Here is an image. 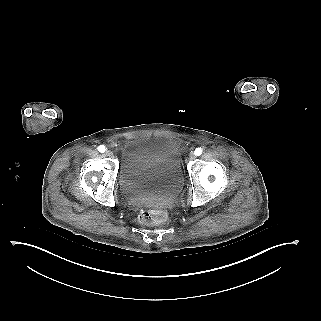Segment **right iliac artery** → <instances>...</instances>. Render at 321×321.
Listing matches in <instances>:
<instances>
[{
    "label": "right iliac artery",
    "mask_w": 321,
    "mask_h": 321,
    "mask_svg": "<svg viewBox=\"0 0 321 321\" xmlns=\"http://www.w3.org/2000/svg\"><path fill=\"white\" fill-rule=\"evenodd\" d=\"M105 150H106V148H105L104 145H100V146L98 147V151L101 152V153L105 152Z\"/></svg>",
    "instance_id": "obj_1"
}]
</instances>
